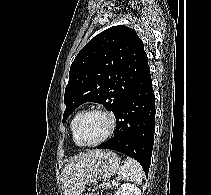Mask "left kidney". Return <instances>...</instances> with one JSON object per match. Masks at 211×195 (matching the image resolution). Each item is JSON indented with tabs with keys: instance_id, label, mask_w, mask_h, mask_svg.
Instances as JSON below:
<instances>
[{
	"instance_id": "obj_1",
	"label": "left kidney",
	"mask_w": 211,
	"mask_h": 195,
	"mask_svg": "<svg viewBox=\"0 0 211 195\" xmlns=\"http://www.w3.org/2000/svg\"><path fill=\"white\" fill-rule=\"evenodd\" d=\"M115 195H141V190L133 184L125 183L122 184Z\"/></svg>"
}]
</instances>
